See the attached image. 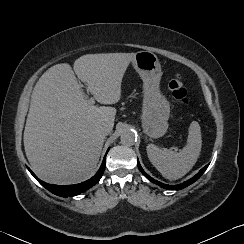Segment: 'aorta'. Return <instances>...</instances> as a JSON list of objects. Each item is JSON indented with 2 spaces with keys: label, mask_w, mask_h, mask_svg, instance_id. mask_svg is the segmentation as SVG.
Returning a JSON list of instances; mask_svg holds the SVG:
<instances>
[{
  "label": "aorta",
  "mask_w": 244,
  "mask_h": 244,
  "mask_svg": "<svg viewBox=\"0 0 244 244\" xmlns=\"http://www.w3.org/2000/svg\"><path fill=\"white\" fill-rule=\"evenodd\" d=\"M137 135L132 129H125L122 131L120 141L122 145L132 146L135 144Z\"/></svg>",
  "instance_id": "1"
}]
</instances>
